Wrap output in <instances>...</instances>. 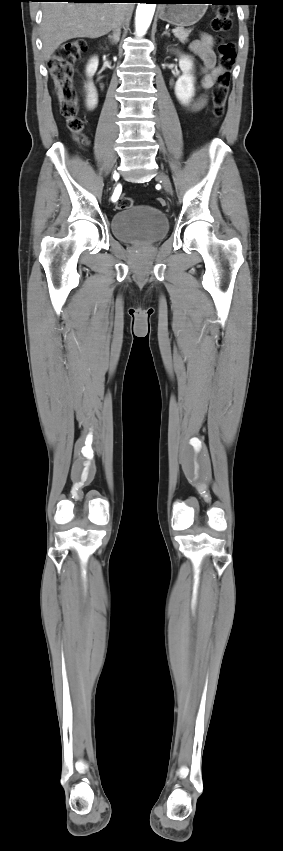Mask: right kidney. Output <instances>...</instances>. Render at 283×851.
Returning <instances> with one entry per match:
<instances>
[{
  "instance_id": "ca27d5eb",
  "label": "right kidney",
  "mask_w": 283,
  "mask_h": 851,
  "mask_svg": "<svg viewBox=\"0 0 283 851\" xmlns=\"http://www.w3.org/2000/svg\"><path fill=\"white\" fill-rule=\"evenodd\" d=\"M98 68V57L94 56L90 59L87 67H86V75L89 79L93 77ZM98 103V94L93 82L90 80L87 83V108L89 110L95 109Z\"/></svg>"
}]
</instances>
